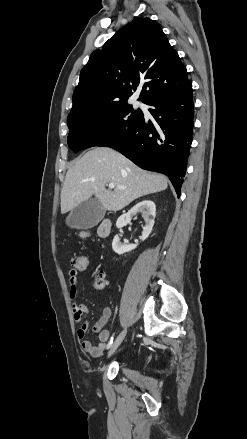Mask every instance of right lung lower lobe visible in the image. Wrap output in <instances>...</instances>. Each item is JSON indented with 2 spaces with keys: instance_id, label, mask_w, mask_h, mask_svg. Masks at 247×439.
Segmentation results:
<instances>
[{
  "instance_id": "98d812e1",
  "label": "right lung lower lobe",
  "mask_w": 247,
  "mask_h": 439,
  "mask_svg": "<svg viewBox=\"0 0 247 439\" xmlns=\"http://www.w3.org/2000/svg\"><path fill=\"white\" fill-rule=\"evenodd\" d=\"M192 97L190 83L151 99L146 104L153 107L149 112L154 122L142 117L128 133L108 145L139 167L168 176L178 197L192 143Z\"/></svg>"
}]
</instances>
